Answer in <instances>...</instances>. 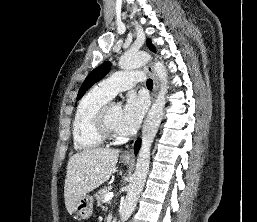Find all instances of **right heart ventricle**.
<instances>
[{
  "label": "right heart ventricle",
  "mask_w": 257,
  "mask_h": 222,
  "mask_svg": "<svg viewBox=\"0 0 257 222\" xmlns=\"http://www.w3.org/2000/svg\"><path fill=\"white\" fill-rule=\"evenodd\" d=\"M111 98L99 87L91 89L82 97L72 123L73 142L76 149L91 150L103 144L104 139L100 137L96 128V117Z\"/></svg>",
  "instance_id": "right-heart-ventricle-1"
}]
</instances>
